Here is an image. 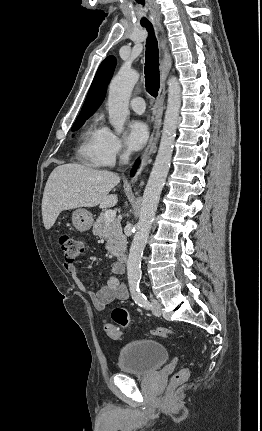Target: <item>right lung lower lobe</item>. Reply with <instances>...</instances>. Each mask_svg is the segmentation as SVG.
<instances>
[{
    "mask_svg": "<svg viewBox=\"0 0 262 431\" xmlns=\"http://www.w3.org/2000/svg\"><path fill=\"white\" fill-rule=\"evenodd\" d=\"M138 164H139V162L137 161V162H136V164H135V166H134V169H133V170H132V172H131V173H132V175L134 174V172H135L136 168L138 167Z\"/></svg>",
    "mask_w": 262,
    "mask_h": 431,
    "instance_id": "right-lung-lower-lobe-1",
    "label": "right lung lower lobe"
}]
</instances>
